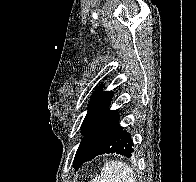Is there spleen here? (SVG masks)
I'll use <instances>...</instances> for the list:
<instances>
[{
  "instance_id": "spleen-1",
  "label": "spleen",
  "mask_w": 196,
  "mask_h": 182,
  "mask_svg": "<svg viewBox=\"0 0 196 182\" xmlns=\"http://www.w3.org/2000/svg\"><path fill=\"white\" fill-rule=\"evenodd\" d=\"M91 182H137L133 170L122 161H109L101 171V175Z\"/></svg>"
}]
</instances>
